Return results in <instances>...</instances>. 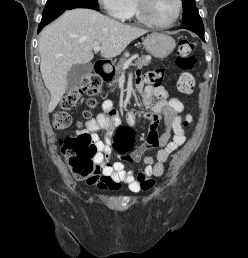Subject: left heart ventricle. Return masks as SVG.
I'll return each instance as SVG.
<instances>
[{"label": "left heart ventricle", "mask_w": 248, "mask_h": 258, "mask_svg": "<svg viewBox=\"0 0 248 258\" xmlns=\"http://www.w3.org/2000/svg\"><path fill=\"white\" fill-rule=\"evenodd\" d=\"M178 9L177 0H149L148 12L152 19L160 23L170 22Z\"/></svg>", "instance_id": "left-heart-ventricle-1"}]
</instances>
